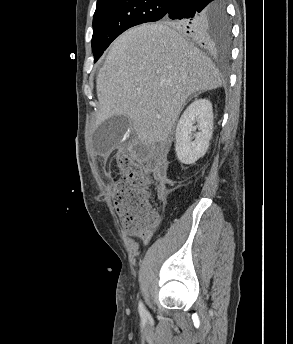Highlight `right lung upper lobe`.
I'll return each instance as SVG.
<instances>
[{"instance_id":"right-lung-upper-lobe-1","label":"right lung upper lobe","mask_w":293,"mask_h":344,"mask_svg":"<svg viewBox=\"0 0 293 344\" xmlns=\"http://www.w3.org/2000/svg\"><path fill=\"white\" fill-rule=\"evenodd\" d=\"M101 1H105V0H97V3L101 2ZM171 1H174V0H171Z\"/></svg>"}]
</instances>
